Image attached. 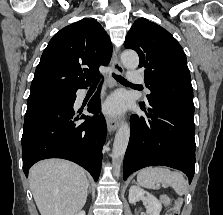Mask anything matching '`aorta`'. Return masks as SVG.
<instances>
[{
    "mask_svg": "<svg viewBox=\"0 0 223 215\" xmlns=\"http://www.w3.org/2000/svg\"><path fill=\"white\" fill-rule=\"evenodd\" d=\"M121 64H123L124 68L128 69H136L139 66V56L133 50H126L121 54ZM130 137V127L128 123H121L120 127L117 129V133L115 135L113 149H112V159L114 165V173L119 177L120 175V165L123 159V155L126 151V147L128 145Z\"/></svg>",
    "mask_w": 223,
    "mask_h": 215,
    "instance_id": "1",
    "label": "aorta"
}]
</instances>
